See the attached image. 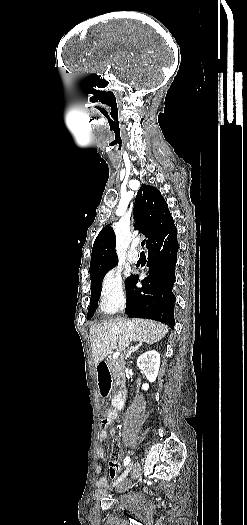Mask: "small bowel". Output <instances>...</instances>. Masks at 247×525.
Segmentation results:
<instances>
[{"label":"small bowel","mask_w":247,"mask_h":525,"mask_svg":"<svg viewBox=\"0 0 247 525\" xmlns=\"http://www.w3.org/2000/svg\"><path fill=\"white\" fill-rule=\"evenodd\" d=\"M109 439V433L105 430L104 433H100L99 434V440L101 443L105 442L106 440ZM97 457L99 460H104L105 458V453H104V449L102 446L99 447L98 449V453H97ZM118 458H119V452H118V449H115L111 455V461H110V464H113V474L110 475V479L112 481H115L117 479V474H118V471H119V463H118ZM102 471V467L101 465H97L96 466V472L97 473H100ZM110 474V473H109ZM96 486L99 487V488H102V487H106L107 486V478L105 476H100L97 480H96Z\"/></svg>","instance_id":"c3829d8e"}]
</instances>
